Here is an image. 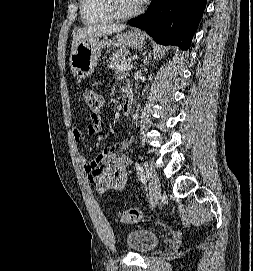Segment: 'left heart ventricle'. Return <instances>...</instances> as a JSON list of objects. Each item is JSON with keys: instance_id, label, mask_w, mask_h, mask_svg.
Returning a JSON list of instances; mask_svg holds the SVG:
<instances>
[{"instance_id": "1", "label": "left heart ventricle", "mask_w": 253, "mask_h": 271, "mask_svg": "<svg viewBox=\"0 0 253 271\" xmlns=\"http://www.w3.org/2000/svg\"><path fill=\"white\" fill-rule=\"evenodd\" d=\"M120 5L123 10L129 11L138 7L140 2L138 0H120Z\"/></svg>"}]
</instances>
